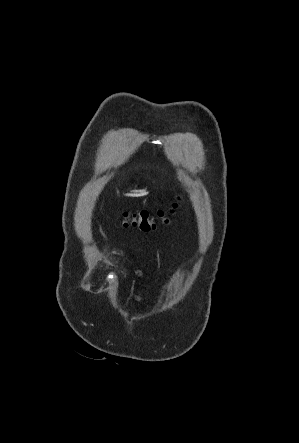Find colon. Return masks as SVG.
Wrapping results in <instances>:
<instances>
[{
	"instance_id": "1",
	"label": "colon",
	"mask_w": 299,
	"mask_h": 443,
	"mask_svg": "<svg viewBox=\"0 0 299 443\" xmlns=\"http://www.w3.org/2000/svg\"><path fill=\"white\" fill-rule=\"evenodd\" d=\"M176 207L177 203L173 202L168 209H159L155 214L147 210L125 212L123 214V223L125 227H135L141 231H152L157 227L158 222H167L169 215Z\"/></svg>"
}]
</instances>
